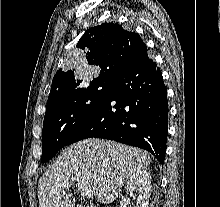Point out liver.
<instances>
[{"instance_id": "1", "label": "liver", "mask_w": 220, "mask_h": 207, "mask_svg": "<svg viewBox=\"0 0 220 207\" xmlns=\"http://www.w3.org/2000/svg\"><path fill=\"white\" fill-rule=\"evenodd\" d=\"M147 152L110 140L86 139L68 147L38 182L39 207H74L67 182L84 184L98 201L116 200L125 181L150 163Z\"/></svg>"}]
</instances>
